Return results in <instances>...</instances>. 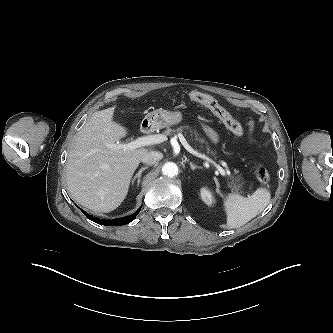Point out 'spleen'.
I'll return each instance as SVG.
<instances>
[{
    "label": "spleen",
    "mask_w": 333,
    "mask_h": 333,
    "mask_svg": "<svg viewBox=\"0 0 333 333\" xmlns=\"http://www.w3.org/2000/svg\"><path fill=\"white\" fill-rule=\"evenodd\" d=\"M270 199L271 194L265 188H258L247 198L239 194H229L224 201L227 226L238 228L245 225L265 209Z\"/></svg>",
    "instance_id": "3e777b00"
}]
</instances>
